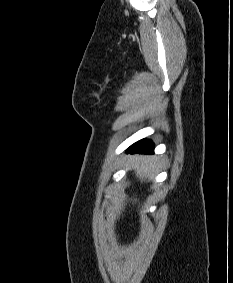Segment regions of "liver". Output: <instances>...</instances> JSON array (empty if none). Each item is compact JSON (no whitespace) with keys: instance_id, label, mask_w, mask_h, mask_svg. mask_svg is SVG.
<instances>
[{"instance_id":"obj_1","label":"liver","mask_w":233,"mask_h":283,"mask_svg":"<svg viewBox=\"0 0 233 283\" xmlns=\"http://www.w3.org/2000/svg\"><path fill=\"white\" fill-rule=\"evenodd\" d=\"M157 165L158 161L156 157L136 155L132 157L129 167L131 170H134L137 177L143 181L149 177H152L151 173L153 172V169L157 167Z\"/></svg>"}]
</instances>
